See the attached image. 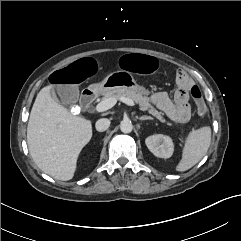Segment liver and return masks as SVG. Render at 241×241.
Returning a JSON list of instances; mask_svg holds the SVG:
<instances>
[{
    "label": "liver",
    "mask_w": 241,
    "mask_h": 241,
    "mask_svg": "<svg viewBox=\"0 0 241 241\" xmlns=\"http://www.w3.org/2000/svg\"><path fill=\"white\" fill-rule=\"evenodd\" d=\"M92 137V124L55 101L46 86L37 94L28 126L27 143L35 164L51 177L68 181L76 171L82 148Z\"/></svg>",
    "instance_id": "obj_1"
}]
</instances>
